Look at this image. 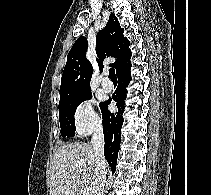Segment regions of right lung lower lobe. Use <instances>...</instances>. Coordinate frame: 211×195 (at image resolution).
Segmentation results:
<instances>
[{"instance_id":"right-lung-lower-lobe-1","label":"right lung lower lobe","mask_w":211,"mask_h":195,"mask_svg":"<svg viewBox=\"0 0 211 195\" xmlns=\"http://www.w3.org/2000/svg\"><path fill=\"white\" fill-rule=\"evenodd\" d=\"M130 66H128L126 69L122 70L117 74L119 86L114 92L112 99L116 101L118 111L116 113H111L108 110V105L112 99L106 101L101 108L103 118V131L105 138L104 155L108 164L111 167L112 172L116 171V162L118 157V151L120 148V130L124 121L122 114L125 108L124 101L126 99L125 95L127 93V90L125 88L131 80Z\"/></svg>"}]
</instances>
